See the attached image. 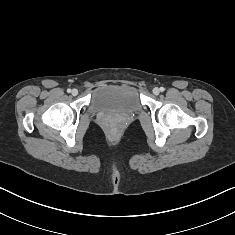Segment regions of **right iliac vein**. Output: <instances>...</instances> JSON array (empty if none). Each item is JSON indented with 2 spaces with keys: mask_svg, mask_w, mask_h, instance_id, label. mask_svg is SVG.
I'll use <instances>...</instances> for the list:
<instances>
[{
  "mask_svg": "<svg viewBox=\"0 0 235 235\" xmlns=\"http://www.w3.org/2000/svg\"><path fill=\"white\" fill-rule=\"evenodd\" d=\"M71 93H72L73 96H76V95H78V90L77 89H73Z\"/></svg>",
  "mask_w": 235,
  "mask_h": 235,
  "instance_id": "right-iliac-vein-1",
  "label": "right iliac vein"
}]
</instances>
